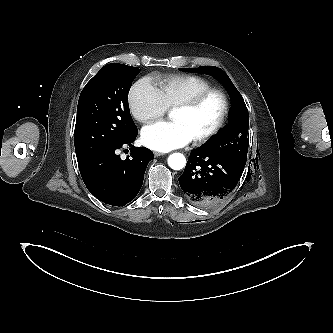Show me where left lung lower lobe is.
<instances>
[{"instance_id":"left-lung-lower-lobe-1","label":"left lung lower lobe","mask_w":333,"mask_h":333,"mask_svg":"<svg viewBox=\"0 0 333 333\" xmlns=\"http://www.w3.org/2000/svg\"><path fill=\"white\" fill-rule=\"evenodd\" d=\"M243 170L231 159L203 147L192 152L178 180L189 202L209 208L233 191Z\"/></svg>"}]
</instances>
